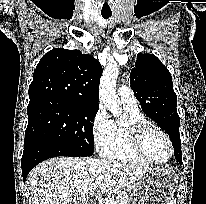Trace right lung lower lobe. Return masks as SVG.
Listing matches in <instances>:
<instances>
[{"label": "right lung lower lobe", "mask_w": 206, "mask_h": 204, "mask_svg": "<svg viewBox=\"0 0 206 204\" xmlns=\"http://www.w3.org/2000/svg\"><path fill=\"white\" fill-rule=\"evenodd\" d=\"M57 156H71L78 157L69 149L52 143H35L24 148L21 167L23 180L25 182L26 177L30 170L34 168L38 163Z\"/></svg>", "instance_id": "98d812e1"}]
</instances>
